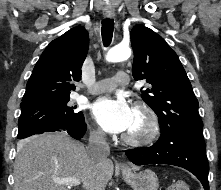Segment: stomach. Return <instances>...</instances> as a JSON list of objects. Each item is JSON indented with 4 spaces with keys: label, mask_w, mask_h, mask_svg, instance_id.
I'll use <instances>...</instances> for the list:
<instances>
[{
    "label": "stomach",
    "mask_w": 221,
    "mask_h": 190,
    "mask_svg": "<svg viewBox=\"0 0 221 190\" xmlns=\"http://www.w3.org/2000/svg\"><path fill=\"white\" fill-rule=\"evenodd\" d=\"M122 175L133 190H158V177L152 170L146 169L136 172L132 169L123 168Z\"/></svg>",
    "instance_id": "1"
}]
</instances>
